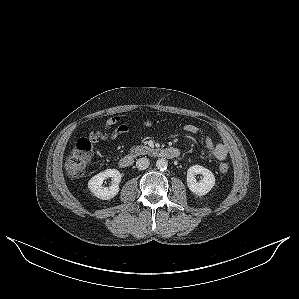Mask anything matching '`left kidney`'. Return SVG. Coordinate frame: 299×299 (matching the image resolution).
<instances>
[{
    "instance_id": "obj_1",
    "label": "left kidney",
    "mask_w": 299,
    "mask_h": 299,
    "mask_svg": "<svg viewBox=\"0 0 299 299\" xmlns=\"http://www.w3.org/2000/svg\"><path fill=\"white\" fill-rule=\"evenodd\" d=\"M201 174L203 179L197 182L195 175ZM215 185L214 174L207 168L194 165L187 171V186L191 192L198 196L207 194Z\"/></svg>"
}]
</instances>
